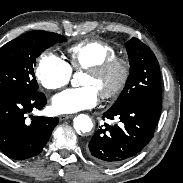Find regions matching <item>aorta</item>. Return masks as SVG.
<instances>
[{
  "instance_id": "obj_1",
  "label": "aorta",
  "mask_w": 183,
  "mask_h": 183,
  "mask_svg": "<svg viewBox=\"0 0 183 183\" xmlns=\"http://www.w3.org/2000/svg\"><path fill=\"white\" fill-rule=\"evenodd\" d=\"M78 73L74 75V78L71 81L73 87L78 86L77 82ZM73 125L76 131L86 133L90 132L93 128V122L91 118L86 114H80L74 118Z\"/></svg>"
}]
</instances>
